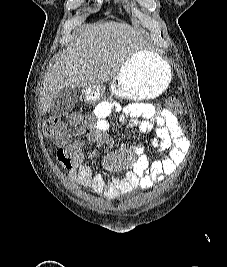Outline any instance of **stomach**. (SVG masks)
Masks as SVG:
<instances>
[{"label": "stomach", "mask_w": 227, "mask_h": 267, "mask_svg": "<svg viewBox=\"0 0 227 267\" xmlns=\"http://www.w3.org/2000/svg\"><path fill=\"white\" fill-rule=\"evenodd\" d=\"M171 67L158 53L141 50L130 57L111 82L113 96L140 101L159 96L171 81ZM90 102L107 94L103 85H88L85 91Z\"/></svg>", "instance_id": "stomach-1"}]
</instances>
